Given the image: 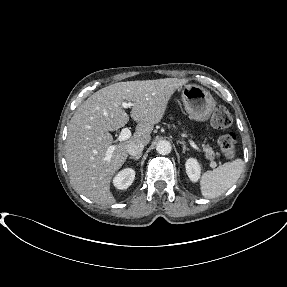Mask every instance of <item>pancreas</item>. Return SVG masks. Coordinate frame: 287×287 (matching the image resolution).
<instances>
[{"label":"pancreas","instance_id":"pancreas-1","mask_svg":"<svg viewBox=\"0 0 287 287\" xmlns=\"http://www.w3.org/2000/svg\"><path fill=\"white\" fill-rule=\"evenodd\" d=\"M203 149H204L205 153L207 154V157H208L210 160H212V159L214 158V156H215V153H214V151L212 150V148L209 147L208 145H206V146H203Z\"/></svg>","mask_w":287,"mask_h":287}]
</instances>
